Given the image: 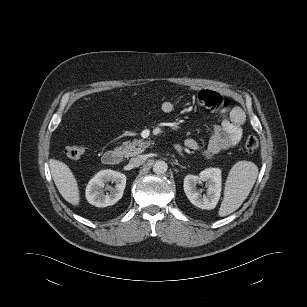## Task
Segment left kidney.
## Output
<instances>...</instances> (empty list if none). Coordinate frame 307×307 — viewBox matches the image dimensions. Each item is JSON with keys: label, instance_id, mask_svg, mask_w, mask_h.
Returning a JSON list of instances; mask_svg holds the SVG:
<instances>
[{"label": "left kidney", "instance_id": "1", "mask_svg": "<svg viewBox=\"0 0 307 307\" xmlns=\"http://www.w3.org/2000/svg\"><path fill=\"white\" fill-rule=\"evenodd\" d=\"M201 181L206 182V195H201L196 185ZM222 187L221 170L207 168L199 176L187 175L184 178V191L189 201L201 209H214L220 199Z\"/></svg>", "mask_w": 307, "mask_h": 307}]
</instances>
